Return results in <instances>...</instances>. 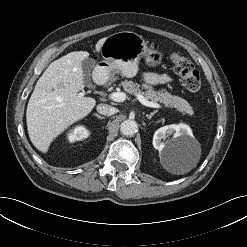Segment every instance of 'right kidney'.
Returning a JSON list of instances; mask_svg holds the SVG:
<instances>
[{
    "mask_svg": "<svg viewBox=\"0 0 247 247\" xmlns=\"http://www.w3.org/2000/svg\"><path fill=\"white\" fill-rule=\"evenodd\" d=\"M89 135L90 131L85 126L78 125L69 131L67 139L69 142L73 143L75 141L86 139Z\"/></svg>",
    "mask_w": 247,
    "mask_h": 247,
    "instance_id": "1",
    "label": "right kidney"
}]
</instances>
